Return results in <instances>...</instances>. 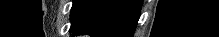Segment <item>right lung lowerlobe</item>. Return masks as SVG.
<instances>
[{"mask_svg":"<svg viewBox=\"0 0 219 37\" xmlns=\"http://www.w3.org/2000/svg\"><path fill=\"white\" fill-rule=\"evenodd\" d=\"M141 5V0H77L70 31L91 37H132Z\"/></svg>","mask_w":219,"mask_h":37,"instance_id":"right-lung-lower-lobe-1","label":"right lung lower lobe"}]
</instances>
